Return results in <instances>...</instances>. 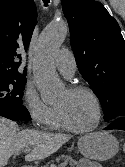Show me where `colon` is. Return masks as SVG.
Returning <instances> with one entry per match:
<instances>
[{"mask_svg": "<svg viewBox=\"0 0 125 167\" xmlns=\"http://www.w3.org/2000/svg\"><path fill=\"white\" fill-rule=\"evenodd\" d=\"M123 152L125 153V143L123 144Z\"/></svg>", "mask_w": 125, "mask_h": 167, "instance_id": "obj_1", "label": "colon"}]
</instances>
